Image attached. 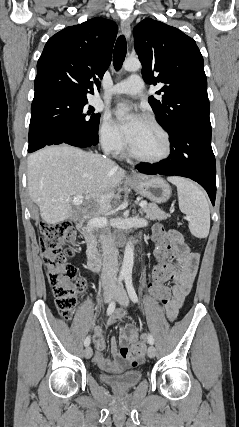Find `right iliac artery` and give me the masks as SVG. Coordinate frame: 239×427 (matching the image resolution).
<instances>
[{
	"instance_id": "obj_1",
	"label": "right iliac artery",
	"mask_w": 239,
	"mask_h": 427,
	"mask_svg": "<svg viewBox=\"0 0 239 427\" xmlns=\"http://www.w3.org/2000/svg\"><path fill=\"white\" fill-rule=\"evenodd\" d=\"M122 279L123 277H119L118 279V287L122 284ZM116 303L114 300L111 301V303L109 304L108 308H107V315H111L115 309ZM90 344V337L88 336L85 340H84V345L85 346H89Z\"/></svg>"
}]
</instances>
